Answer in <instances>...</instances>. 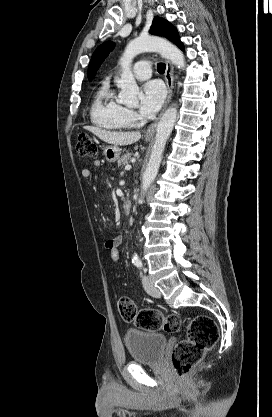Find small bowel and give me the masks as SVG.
Masks as SVG:
<instances>
[{
	"label": "small bowel",
	"mask_w": 272,
	"mask_h": 417,
	"mask_svg": "<svg viewBox=\"0 0 272 417\" xmlns=\"http://www.w3.org/2000/svg\"><path fill=\"white\" fill-rule=\"evenodd\" d=\"M94 167H100L102 165L101 160L96 159L93 162ZM81 175L83 178L88 179L91 177L92 172L89 168H83L81 171ZM120 242L122 243V235L121 234H116L113 237H111L110 239H108L105 243V247H107L111 242Z\"/></svg>",
	"instance_id": "c3829d8e"
}]
</instances>
